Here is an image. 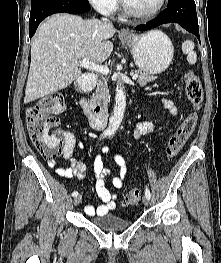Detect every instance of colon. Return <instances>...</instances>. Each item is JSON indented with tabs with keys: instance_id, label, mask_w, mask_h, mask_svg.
<instances>
[{
	"instance_id": "colon-1",
	"label": "colon",
	"mask_w": 221,
	"mask_h": 263,
	"mask_svg": "<svg viewBox=\"0 0 221 263\" xmlns=\"http://www.w3.org/2000/svg\"><path fill=\"white\" fill-rule=\"evenodd\" d=\"M185 92L191 111L184 118L166 147L168 159L175 157L194 132L198 121V110L203 101L201 81L194 72L185 75ZM64 110V96L51 93L39 99L27 110V126L32 144L49 160L59 157L64 149L63 133L59 130L57 115ZM141 199L140 189L131 190L126 198L127 205H135Z\"/></svg>"
}]
</instances>
